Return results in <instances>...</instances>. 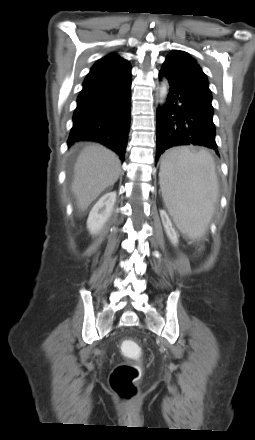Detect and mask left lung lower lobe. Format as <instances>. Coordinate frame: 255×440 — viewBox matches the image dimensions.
I'll use <instances>...</instances> for the list:
<instances>
[{
	"label": "left lung lower lobe",
	"mask_w": 255,
	"mask_h": 440,
	"mask_svg": "<svg viewBox=\"0 0 255 440\" xmlns=\"http://www.w3.org/2000/svg\"><path fill=\"white\" fill-rule=\"evenodd\" d=\"M159 77L167 80L169 94L158 110L156 161L166 149L180 145L205 146L218 153L212 99L177 80L164 67Z\"/></svg>",
	"instance_id": "0a47b994"
}]
</instances>
